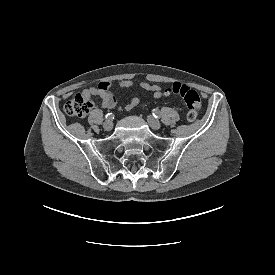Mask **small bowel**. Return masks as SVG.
Returning a JSON list of instances; mask_svg holds the SVG:
<instances>
[{
    "label": "small bowel",
    "mask_w": 275,
    "mask_h": 275,
    "mask_svg": "<svg viewBox=\"0 0 275 275\" xmlns=\"http://www.w3.org/2000/svg\"><path fill=\"white\" fill-rule=\"evenodd\" d=\"M117 86L121 89H127L135 86V82L131 79H125L120 81ZM138 86L144 91L151 92L154 98H160L163 96V89L158 84H154L148 81H142L138 84ZM115 87L116 85H114L112 82L103 81L99 83L98 86H92L85 89L83 91V95L86 97L98 96L102 99L101 107L117 109L119 111L132 110L139 104L140 97L138 94H136L127 105H125L124 107L118 106L116 97L111 92V90Z\"/></svg>",
    "instance_id": "obj_1"
}]
</instances>
